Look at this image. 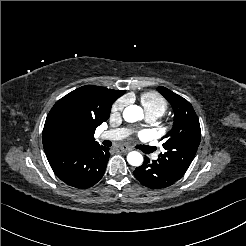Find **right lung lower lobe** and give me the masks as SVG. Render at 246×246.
<instances>
[{"label": "right lung lower lobe", "mask_w": 246, "mask_h": 246, "mask_svg": "<svg viewBox=\"0 0 246 246\" xmlns=\"http://www.w3.org/2000/svg\"><path fill=\"white\" fill-rule=\"evenodd\" d=\"M54 173L66 184L86 189L103 176L110 153L98 142L89 145H59L45 151Z\"/></svg>", "instance_id": "98d812e1"}]
</instances>
